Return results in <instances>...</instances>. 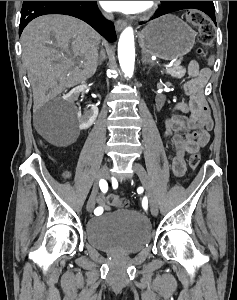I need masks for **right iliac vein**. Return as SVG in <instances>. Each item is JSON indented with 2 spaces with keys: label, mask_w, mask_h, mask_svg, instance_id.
Segmentation results:
<instances>
[{
  "label": "right iliac vein",
  "mask_w": 237,
  "mask_h": 300,
  "mask_svg": "<svg viewBox=\"0 0 237 300\" xmlns=\"http://www.w3.org/2000/svg\"><path fill=\"white\" fill-rule=\"evenodd\" d=\"M107 176H108V166L105 165L100 169V171L98 173L97 181L95 182V184L93 186L92 193L87 202V206H86L87 211H91L95 207L96 202H97L98 182L101 179L107 178Z\"/></svg>",
  "instance_id": "1"
}]
</instances>
